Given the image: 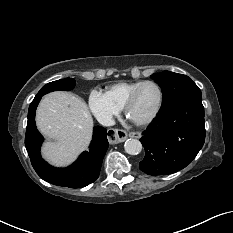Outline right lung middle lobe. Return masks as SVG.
Listing matches in <instances>:
<instances>
[{"mask_svg": "<svg viewBox=\"0 0 233 233\" xmlns=\"http://www.w3.org/2000/svg\"><path fill=\"white\" fill-rule=\"evenodd\" d=\"M74 85L75 80L71 78L56 80L43 86L37 95H45L56 90H71Z\"/></svg>", "mask_w": 233, "mask_h": 233, "instance_id": "right-lung-middle-lobe-1", "label": "right lung middle lobe"}]
</instances>
